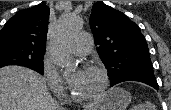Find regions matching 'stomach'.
I'll list each match as a JSON object with an SVG mask.
<instances>
[{
    "mask_svg": "<svg viewBox=\"0 0 171 110\" xmlns=\"http://www.w3.org/2000/svg\"><path fill=\"white\" fill-rule=\"evenodd\" d=\"M131 101L129 92L122 88L110 89L105 99L93 110H126Z\"/></svg>",
    "mask_w": 171,
    "mask_h": 110,
    "instance_id": "1",
    "label": "stomach"
}]
</instances>
